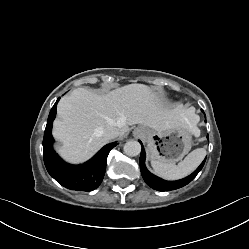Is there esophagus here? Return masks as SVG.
I'll return each instance as SVG.
<instances>
[{
	"label": "esophagus",
	"mask_w": 249,
	"mask_h": 249,
	"mask_svg": "<svg viewBox=\"0 0 249 249\" xmlns=\"http://www.w3.org/2000/svg\"><path fill=\"white\" fill-rule=\"evenodd\" d=\"M144 134V130H142V129H140V128H138V129H136L135 131H134V135L136 136V137H140V136H142Z\"/></svg>",
	"instance_id": "esophagus-1"
}]
</instances>
